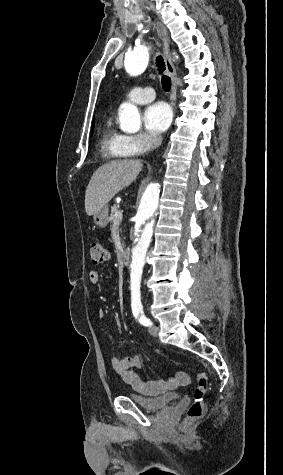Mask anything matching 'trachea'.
<instances>
[{"label":"trachea","instance_id":"trachea-1","mask_svg":"<svg viewBox=\"0 0 283 475\" xmlns=\"http://www.w3.org/2000/svg\"><path fill=\"white\" fill-rule=\"evenodd\" d=\"M156 66H157L159 74L161 75V84H162L163 90H165V92H169V90L171 89V79L170 77L164 74L165 62L161 55H158L156 57Z\"/></svg>","mask_w":283,"mask_h":475}]
</instances>
